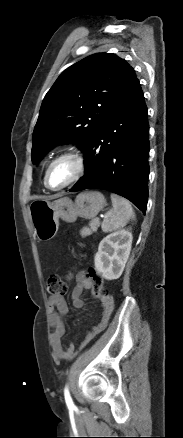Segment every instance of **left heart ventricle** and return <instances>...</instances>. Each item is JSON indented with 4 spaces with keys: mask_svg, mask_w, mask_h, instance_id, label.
<instances>
[{
    "mask_svg": "<svg viewBox=\"0 0 183 438\" xmlns=\"http://www.w3.org/2000/svg\"><path fill=\"white\" fill-rule=\"evenodd\" d=\"M75 173V165L71 159L56 162L50 169L48 183L51 187H59L68 182Z\"/></svg>",
    "mask_w": 183,
    "mask_h": 438,
    "instance_id": "obj_1",
    "label": "left heart ventricle"
}]
</instances>
